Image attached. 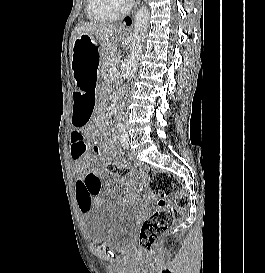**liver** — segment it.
<instances>
[{"label":"liver","mask_w":265,"mask_h":273,"mask_svg":"<svg viewBox=\"0 0 265 273\" xmlns=\"http://www.w3.org/2000/svg\"><path fill=\"white\" fill-rule=\"evenodd\" d=\"M117 33H121V29L111 24H104L98 22H80L72 31L70 37V59L72 58V48L74 41L82 34H87L94 40L100 41L104 46L109 47L117 43Z\"/></svg>","instance_id":"6515ba94"}]
</instances>
